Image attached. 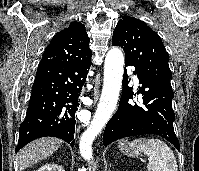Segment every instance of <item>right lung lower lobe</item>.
I'll use <instances>...</instances> for the list:
<instances>
[{
	"mask_svg": "<svg viewBox=\"0 0 199 171\" xmlns=\"http://www.w3.org/2000/svg\"><path fill=\"white\" fill-rule=\"evenodd\" d=\"M91 58L79 63L39 65L15 152L41 137L60 138L74 147L75 112Z\"/></svg>",
	"mask_w": 199,
	"mask_h": 171,
	"instance_id": "98d812e1",
	"label": "right lung lower lobe"
}]
</instances>
